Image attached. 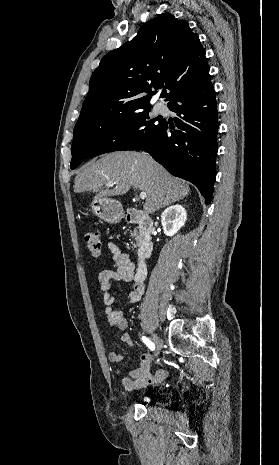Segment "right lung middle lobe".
Instances as JSON below:
<instances>
[{
  "label": "right lung middle lobe",
  "mask_w": 279,
  "mask_h": 465,
  "mask_svg": "<svg viewBox=\"0 0 279 465\" xmlns=\"http://www.w3.org/2000/svg\"><path fill=\"white\" fill-rule=\"evenodd\" d=\"M151 106L122 114L100 124L77 125L72 142L71 169L87 157L123 150L128 146H142L151 142L163 128L165 121L151 119Z\"/></svg>",
  "instance_id": "dd1d6c3e"
}]
</instances>
